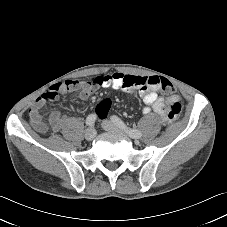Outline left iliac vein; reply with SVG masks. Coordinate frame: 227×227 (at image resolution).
<instances>
[{
  "label": "left iliac vein",
  "mask_w": 227,
  "mask_h": 227,
  "mask_svg": "<svg viewBox=\"0 0 227 227\" xmlns=\"http://www.w3.org/2000/svg\"><path fill=\"white\" fill-rule=\"evenodd\" d=\"M102 127L103 129H105L106 131H110V132H116V133H120V134H127V132L120 128L118 125H116L114 122L109 121V120H104L102 122Z\"/></svg>",
  "instance_id": "4c4485c4"
}]
</instances>
